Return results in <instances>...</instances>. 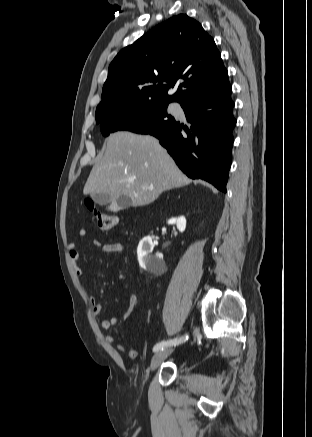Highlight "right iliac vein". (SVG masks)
<instances>
[{
  "label": "right iliac vein",
  "instance_id": "63e3f726",
  "mask_svg": "<svg viewBox=\"0 0 312 437\" xmlns=\"http://www.w3.org/2000/svg\"><path fill=\"white\" fill-rule=\"evenodd\" d=\"M172 351V348H164L161 351L157 352L152 358L150 369H157L159 365L172 353Z\"/></svg>",
  "mask_w": 312,
  "mask_h": 437
}]
</instances>
